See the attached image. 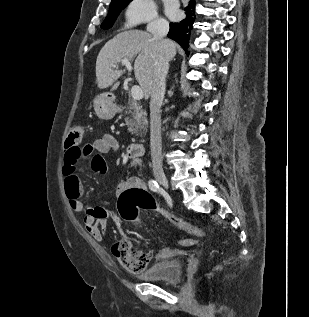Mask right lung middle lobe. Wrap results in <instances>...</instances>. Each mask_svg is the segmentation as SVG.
I'll return each mask as SVG.
<instances>
[{
	"mask_svg": "<svg viewBox=\"0 0 309 317\" xmlns=\"http://www.w3.org/2000/svg\"><path fill=\"white\" fill-rule=\"evenodd\" d=\"M131 1L132 0H112L108 15L101 24V28L109 29L113 25L121 10L124 9Z\"/></svg>",
	"mask_w": 309,
	"mask_h": 317,
	"instance_id": "dd1d6c3e",
	"label": "right lung middle lobe"
}]
</instances>
